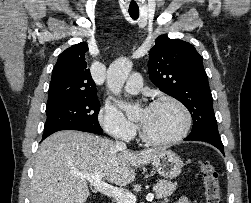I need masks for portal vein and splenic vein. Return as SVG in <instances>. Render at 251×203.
<instances>
[{"instance_id": "18ae733b", "label": "portal vein and splenic vein", "mask_w": 251, "mask_h": 203, "mask_svg": "<svg viewBox=\"0 0 251 203\" xmlns=\"http://www.w3.org/2000/svg\"><path fill=\"white\" fill-rule=\"evenodd\" d=\"M76 176L81 179H86L92 186H94L96 190L102 194L112 196L117 200L123 201L124 203H136V197L132 193L104 182L102 180L104 174L101 171L93 174L76 173ZM153 198L154 194L151 193L146 196V200L148 202L152 201Z\"/></svg>"}]
</instances>
